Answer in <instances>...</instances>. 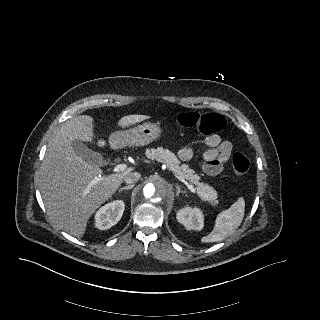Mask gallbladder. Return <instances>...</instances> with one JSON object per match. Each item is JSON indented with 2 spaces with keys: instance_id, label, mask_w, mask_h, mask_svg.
Masks as SVG:
<instances>
[{
  "instance_id": "bac80fb5",
  "label": "gallbladder",
  "mask_w": 320,
  "mask_h": 320,
  "mask_svg": "<svg viewBox=\"0 0 320 320\" xmlns=\"http://www.w3.org/2000/svg\"><path fill=\"white\" fill-rule=\"evenodd\" d=\"M72 147L75 153L87 163L92 165H98L100 163V155L89 149L81 140H74Z\"/></svg>"
}]
</instances>
